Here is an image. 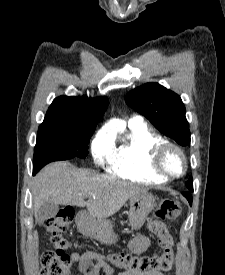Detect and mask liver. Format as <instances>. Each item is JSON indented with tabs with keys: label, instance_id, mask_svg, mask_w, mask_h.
Returning <instances> with one entry per match:
<instances>
[{
	"label": "liver",
	"instance_id": "obj_1",
	"mask_svg": "<svg viewBox=\"0 0 225 275\" xmlns=\"http://www.w3.org/2000/svg\"><path fill=\"white\" fill-rule=\"evenodd\" d=\"M146 192L114 176L95 174L61 161L45 166L37 174L32 188L33 209L36 222L39 209L46 202L86 206L91 218L102 221L118 212L131 197Z\"/></svg>",
	"mask_w": 225,
	"mask_h": 275
}]
</instances>
